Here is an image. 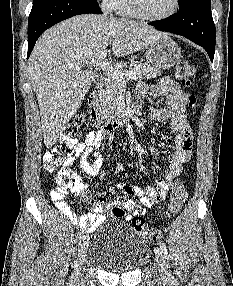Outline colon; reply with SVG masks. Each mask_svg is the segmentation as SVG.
I'll return each instance as SVG.
<instances>
[{
  "label": "colon",
  "instance_id": "5ec220e1",
  "mask_svg": "<svg viewBox=\"0 0 233 286\" xmlns=\"http://www.w3.org/2000/svg\"><path fill=\"white\" fill-rule=\"evenodd\" d=\"M176 77L184 86H191L195 79V68L185 60H181L176 66ZM196 103V97L191 94L188 96V104L193 107ZM87 127V119L84 114L75 117L73 122L62 133L58 142L48 150L43 157L44 168L55 175V180L62 190L81 191L84 184L79 177L69 168L62 167L65 162L72 158L78 139ZM187 197L186 188L181 180H176L172 186L170 200L166 208L168 217H174L181 210ZM112 214L118 218L128 216L129 210L122 204H114L111 208ZM134 230L150 240H156L158 233L153 230L137 213L132 218Z\"/></svg>",
  "mask_w": 233,
  "mask_h": 286
}]
</instances>
